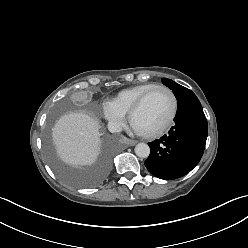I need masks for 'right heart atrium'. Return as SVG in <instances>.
I'll return each mask as SVG.
<instances>
[{"label":"right heart atrium","mask_w":248,"mask_h":248,"mask_svg":"<svg viewBox=\"0 0 248 248\" xmlns=\"http://www.w3.org/2000/svg\"><path fill=\"white\" fill-rule=\"evenodd\" d=\"M104 117L114 126L120 127L123 125L125 115L118 111L111 102H108L103 107Z\"/></svg>","instance_id":"d8ad5b80"}]
</instances>
